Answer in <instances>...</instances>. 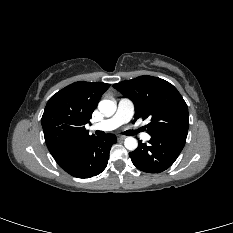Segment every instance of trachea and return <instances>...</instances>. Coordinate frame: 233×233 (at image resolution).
<instances>
[{"label":"trachea","mask_w":233,"mask_h":233,"mask_svg":"<svg viewBox=\"0 0 233 233\" xmlns=\"http://www.w3.org/2000/svg\"><path fill=\"white\" fill-rule=\"evenodd\" d=\"M139 131H140V130L129 131V134H130V135H135V134H137Z\"/></svg>","instance_id":"1"}]
</instances>
